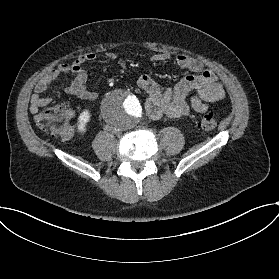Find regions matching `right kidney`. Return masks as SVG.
Instances as JSON below:
<instances>
[{
    "label": "right kidney",
    "mask_w": 279,
    "mask_h": 279,
    "mask_svg": "<svg viewBox=\"0 0 279 279\" xmlns=\"http://www.w3.org/2000/svg\"><path fill=\"white\" fill-rule=\"evenodd\" d=\"M90 121L89 110H84L78 117L77 127L78 132L84 133L86 131V124Z\"/></svg>",
    "instance_id": "right-kidney-1"
}]
</instances>
